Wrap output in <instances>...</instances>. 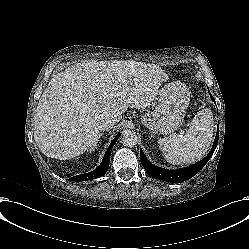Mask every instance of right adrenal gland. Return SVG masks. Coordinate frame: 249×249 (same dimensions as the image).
Segmentation results:
<instances>
[{"label": "right adrenal gland", "instance_id": "1", "mask_svg": "<svg viewBox=\"0 0 249 249\" xmlns=\"http://www.w3.org/2000/svg\"><path fill=\"white\" fill-rule=\"evenodd\" d=\"M103 134H100V136H102ZM100 141V140H99ZM97 146H98V144L96 143L95 144V146H94V148L92 149V151H94L95 150V148H97Z\"/></svg>", "mask_w": 249, "mask_h": 249}]
</instances>
